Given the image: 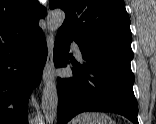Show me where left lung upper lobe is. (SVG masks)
I'll list each match as a JSON object with an SVG mask.
<instances>
[{"label":"left lung upper lobe","mask_w":156,"mask_h":124,"mask_svg":"<svg viewBox=\"0 0 156 124\" xmlns=\"http://www.w3.org/2000/svg\"><path fill=\"white\" fill-rule=\"evenodd\" d=\"M66 17L58 30L70 36L86 56L114 57L130 65V19L123 0H50Z\"/></svg>","instance_id":"5c2ea615"}]
</instances>
